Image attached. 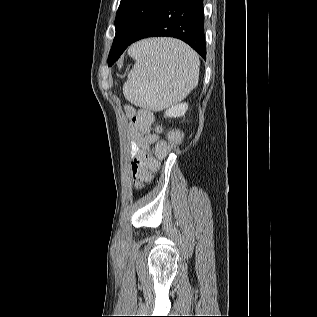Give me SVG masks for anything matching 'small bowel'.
Returning <instances> with one entry per match:
<instances>
[{"label": "small bowel", "mask_w": 317, "mask_h": 317, "mask_svg": "<svg viewBox=\"0 0 317 317\" xmlns=\"http://www.w3.org/2000/svg\"><path fill=\"white\" fill-rule=\"evenodd\" d=\"M127 117L130 119V132L133 138L131 144V156L137 157L141 153H147L150 151L151 146L158 140L156 134H145L139 131L132 123V117L136 110L131 106L125 107Z\"/></svg>", "instance_id": "1"}]
</instances>
